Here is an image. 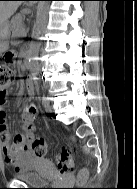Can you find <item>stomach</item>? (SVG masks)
Instances as JSON below:
<instances>
[{"instance_id": "0dacf381", "label": "stomach", "mask_w": 137, "mask_h": 189, "mask_svg": "<svg viewBox=\"0 0 137 189\" xmlns=\"http://www.w3.org/2000/svg\"><path fill=\"white\" fill-rule=\"evenodd\" d=\"M9 25L6 23L0 29V53L3 52L7 48V39L9 37Z\"/></svg>"}]
</instances>
